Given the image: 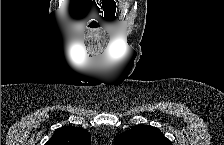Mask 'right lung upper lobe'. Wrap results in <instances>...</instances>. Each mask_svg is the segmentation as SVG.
Segmentation results:
<instances>
[{"label": "right lung upper lobe", "mask_w": 224, "mask_h": 145, "mask_svg": "<svg viewBox=\"0 0 224 145\" xmlns=\"http://www.w3.org/2000/svg\"><path fill=\"white\" fill-rule=\"evenodd\" d=\"M91 135L87 130L75 127H62L45 145H89Z\"/></svg>", "instance_id": "obj_1"}]
</instances>
